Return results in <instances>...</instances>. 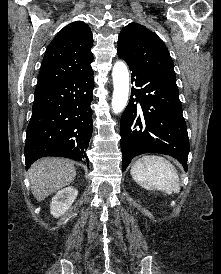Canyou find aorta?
Instances as JSON below:
<instances>
[{"label":"aorta","mask_w":221,"mask_h":274,"mask_svg":"<svg viewBox=\"0 0 221 274\" xmlns=\"http://www.w3.org/2000/svg\"><path fill=\"white\" fill-rule=\"evenodd\" d=\"M113 97L112 110L118 114L124 110L128 102L129 95V73L127 66L122 61H117L113 66Z\"/></svg>","instance_id":"762f6f07"}]
</instances>
